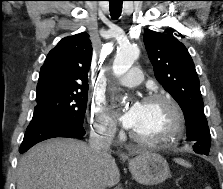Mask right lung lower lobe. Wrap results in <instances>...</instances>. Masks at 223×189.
<instances>
[{
  "mask_svg": "<svg viewBox=\"0 0 223 189\" xmlns=\"http://www.w3.org/2000/svg\"><path fill=\"white\" fill-rule=\"evenodd\" d=\"M85 133L83 125L74 124L68 119L42 113H34L26 129L19 152L24 153L33 145L49 138H80L83 137Z\"/></svg>",
  "mask_w": 223,
  "mask_h": 189,
  "instance_id": "98d812e1",
  "label": "right lung lower lobe"
}]
</instances>
